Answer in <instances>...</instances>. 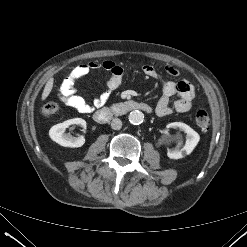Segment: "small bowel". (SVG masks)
I'll list each match as a JSON object with an SVG mask.
<instances>
[{"label":"small bowel","mask_w":247,"mask_h":247,"mask_svg":"<svg viewBox=\"0 0 247 247\" xmlns=\"http://www.w3.org/2000/svg\"><path fill=\"white\" fill-rule=\"evenodd\" d=\"M104 69L110 72V78L106 83V90L95 97L92 103L86 100L78 93L76 83L85 77L92 70ZM143 74L149 78L159 80V75L155 67L151 64H145L142 67ZM166 72L172 76H178L179 72L172 66L166 67ZM123 69L113 61L106 60L103 62L90 61L79 64L73 68L63 81L58 90L60 100L67 106L76 109L82 113H90L94 108L102 106L109 99L112 92L116 91L123 82ZM177 95L179 98L170 105V97ZM195 99V90L191 83L185 80L162 82V94L155 106V112L158 116H167L173 112H188L193 107Z\"/></svg>","instance_id":"c3829d8e"}]
</instances>
